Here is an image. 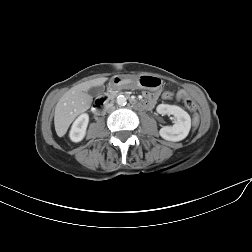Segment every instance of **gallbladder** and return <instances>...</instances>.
Segmentation results:
<instances>
[{"label": "gallbladder", "mask_w": 252, "mask_h": 252, "mask_svg": "<svg viewBox=\"0 0 252 252\" xmlns=\"http://www.w3.org/2000/svg\"><path fill=\"white\" fill-rule=\"evenodd\" d=\"M103 92H104V86L103 85L94 86V87H91L88 90V94L90 96H92V97H97V96L101 95Z\"/></svg>", "instance_id": "1"}]
</instances>
